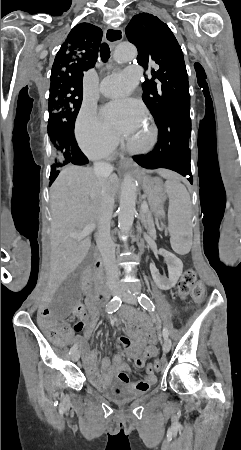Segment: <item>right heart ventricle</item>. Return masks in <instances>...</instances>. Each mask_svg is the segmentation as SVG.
<instances>
[{"instance_id":"obj_1","label":"right heart ventricle","mask_w":241,"mask_h":450,"mask_svg":"<svg viewBox=\"0 0 241 450\" xmlns=\"http://www.w3.org/2000/svg\"><path fill=\"white\" fill-rule=\"evenodd\" d=\"M136 124H129V126H135Z\"/></svg>"}]
</instances>
